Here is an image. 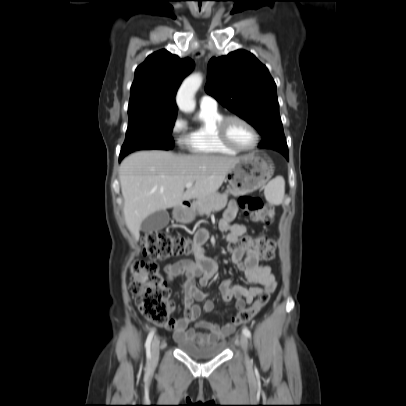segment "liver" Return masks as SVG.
<instances>
[{"mask_svg": "<svg viewBox=\"0 0 406 406\" xmlns=\"http://www.w3.org/2000/svg\"><path fill=\"white\" fill-rule=\"evenodd\" d=\"M240 159L159 150L127 156L119 168L127 228L138 238L142 222L154 212L214 195ZM188 182L193 186L184 191Z\"/></svg>", "mask_w": 406, "mask_h": 406, "instance_id": "liver-1", "label": "liver"}]
</instances>
